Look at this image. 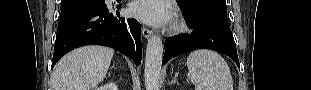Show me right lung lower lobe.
I'll list each match as a JSON object with an SVG mask.
<instances>
[{"instance_id": "98d812e1", "label": "right lung lower lobe", "mask_w": 311, "mask_h": 90, "mask_svg": "<svg viewBox=\"0 0 311 90\" xmlns=\"http://www.w3.org/2000/svg\"><path fill=\"white\" fill-rule=\"evenodd\" d=\"M121 5L90 8L61 18L54 47L52 68L70 50L84 45L112 47L139 65L142 58L141 26L135 19L119 16Z\"/></svg>"}]
</instances>
